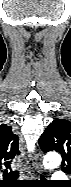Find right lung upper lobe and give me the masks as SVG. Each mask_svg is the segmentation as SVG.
<instances>
[{"label": "right lung upper lobe", "instance_id": "right-lung-upper-lobe-1", "mask_svg": "<svg viewBox=\"0 0 71 187\" xmlns=\"http://www.w3.org/2000/svg\"><path fill=\"white\" fill-rule=\"evenodd\" d=\"M18 140V136L12 132L10 126L0 125V158L9 169L14 157L20 153Z\"/></svg>", "mask_w": 71, "mask_h": 187}]
</instances>
